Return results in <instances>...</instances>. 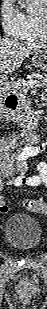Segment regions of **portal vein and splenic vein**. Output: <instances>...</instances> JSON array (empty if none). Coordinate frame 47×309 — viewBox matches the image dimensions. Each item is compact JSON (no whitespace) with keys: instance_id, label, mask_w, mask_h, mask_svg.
I'll use <instances>...</instances> for the list:
<instances>
[{"instance_id":"portal-vein-and-splenic-vein-1","label":"portal vein and splenic vein","mask_w":47,"mask_h":309,"mask_svg":"<svg viewBox=\"0 0 47 309\" xmlns=\"http://www.w3.org/2000/svg\"><path fill=\"white\" fill-rule=\"evenodd\" d=\"M23 87H27V88H30V87H38L40 86L39 82L38 81H33V82H30V83H24L22 84Z\"/></svg>"}]
</instances>
